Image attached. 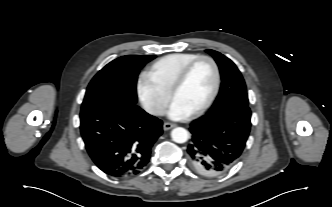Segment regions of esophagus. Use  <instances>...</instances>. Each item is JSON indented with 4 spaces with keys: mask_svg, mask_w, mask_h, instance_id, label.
I'll list each match as a JSON object with an SVG mask.
<instances>
[{
    "mask_svg": "<svg viewBox=\"0 0 332 207\" xmlns=\"http://www.w3.org/2000/svg\"><path fill=\"white\" fill-rule=\"evenodd\" d=\"M175 126H176V124H174V123L165 122V123L163 124V129H164V130H169V129H171V128H174Z\"/></svg>",
    "mask_w": 332,
    "mask_h": 207,
    "instance_id": "obj_1",
    "label": "esophagus"
}]
</instances>
